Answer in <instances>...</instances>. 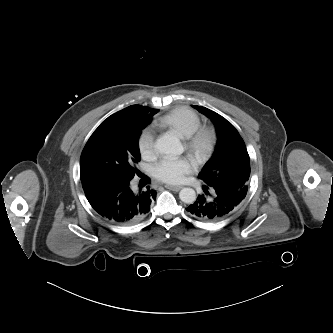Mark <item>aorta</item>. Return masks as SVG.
Listing matches in <instances>:
<instances>
[{
	"label": "aorta",
	"instance_id": "obj_1",
	"mask_svg": "<svg viewBox=\"0 0 333 333\" xmlns=\"http://www.w3.org/2000/svg\"><path fill=\"white\" fill-rule=\"evenodd\" d=\"M156 149L163 154L180 155L184 148L180 140L176 137L163 136L156 140ZM182 202L192 204L196 200V192L192 188H183L179 193Z\"/></svg>",
	"mask_w": 333,
	"mask_h": 333
}]
</instances>
